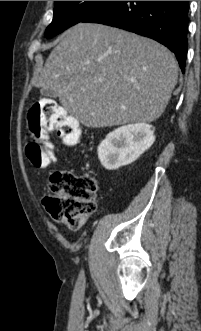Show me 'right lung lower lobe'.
Instances as JSON below:
<instances>
[{"label":"right lung lower lobe","instance_id":"1","mask_svg":"<svg viewBox=\"0 0 201 331\" xmlns=\"http://www.w3.org/2000/svg\"><path fill=\"white\" fill-rule=\"evenodd\" d=\"M188 9L189 1H108L82 22L105 24L150 37L175 53L184 72Z\"/></svg>","mask_w":201,"mask_h":331}]
</instances>
